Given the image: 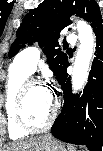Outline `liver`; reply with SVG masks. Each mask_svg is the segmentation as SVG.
I'll return each instance as SVG.
<instances>
[{"label": "liver", "instance_id": "1", "mask_svg": "<svg viewBox=\"0 0 103 151\" xmlns=\"http://www.w3.org/2000/svg\"><path fill=\"white\" fill-rule=\"evenodd\" d=\"M38 138L39 137L30 138L28 140L14 143L8 147L6 151H31Z\"/></svg>", "mask_w": 103, "mask_h": 151}]
</instances>
